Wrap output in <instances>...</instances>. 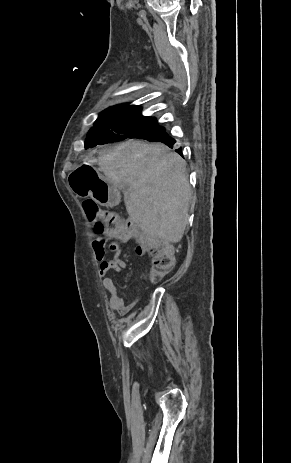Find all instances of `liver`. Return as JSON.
Masks as SVG:
<instances>
[{"instance_id": "1", "label": "liver", "mask_w": 291, "mask_h": 463, "mask_svg": "<svg viewBox=\"0 0 291 463\" xmlns=\"http://www.w3.org/2000/svg\"><path fill=\"white\" fill-rule=\"evenodd\" d=\"M92 162L116 188L127 185V213L146 235L169 243L182 239L192 193L178 154L160 143L129 140Z\"/></svg>"}]
</instances>
